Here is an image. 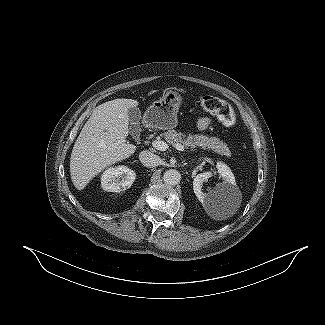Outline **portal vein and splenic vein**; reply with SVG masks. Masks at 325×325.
<instances>
[{
    "label": "portal vein and splenic vein",
    "instance_id": "1",
    "mask_svg": "<svg viewBox=\"0 0 325 325\" xmlns=\"http://www.w3.org/2000/svg\"><path fill=\"white\" fill-rule=\"evenodd\" d=\"M152 146L160 151H166L169 148L168 144L161 140H154ZM173 146L179 151H184V146L179 143L173 144Z\"/></svg>",
    "mask_w": 325,
    "mask_h": 325
}]
</instances>
